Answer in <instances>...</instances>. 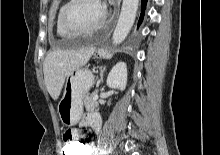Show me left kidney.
<instances>
[{
    "label": "left kidney",
    "instance_id": "obj_1",
    "mask_svg": "<svg viewBox=\"0 0 220 155\" xmlns=\"http://www.w3.org/2000/svg\"><path fill=\"white\" fill-rule=\"evenodd\" d=\"M106 83L110 88L125 90L127 85V66L125 62H119L111 69Z\"/></svg>",
    "mask_w": 220,
    "mask_h": 155
}]
</instances>
